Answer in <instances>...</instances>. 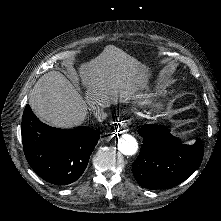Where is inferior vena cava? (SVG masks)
<instances>
[{
  "mask_svg": "<svg viewBox=\"0 0 221 221\" xmlns=\"http://www.w3.org/2000/svg\"><path fill=\"white\" fill-rule=\"evenodd\" d=\"M104 108L105 107L103 104L92 107L93 114L98 119V121H103L107 118V113L105 112Z\"/></svg>",
  "mask_w": 221,
  "mask_h": 221,
  "instance_id": "obj_1",
  "label": "inferior vena cava"
}]
</instances>
